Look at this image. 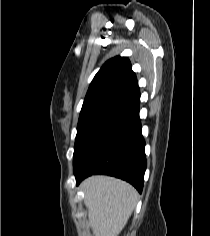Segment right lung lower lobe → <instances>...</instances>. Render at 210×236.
Listing matches in <instances>:
<instances>
[{
	"mask_svg": "<svg viewBox=\"0 0 210 236\" xmlns=\"http://www.w3.org/2000/svg\"><path fill=\"white\" fill-rule=\"evenodd\" d=\"M139 105L137 89L86 137L73 159L77 185L92 174H107L142 192L146 157Z\"/></svg>",
	"mask_w": 210,
	"mask_h": 236,
	"instance_id": "98d812e1",
	"label": "right lung lower lobe"
}]
</instances>
